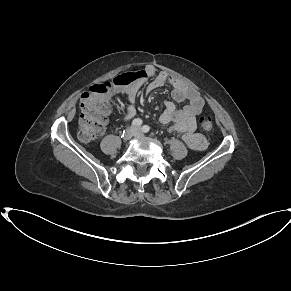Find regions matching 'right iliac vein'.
<instances>
[{"mask_svg": "<svg viewBox=\"0 0 291 291\" xmlns=\"http://www.w3.org/2000/svg\"><path fill=\"white\" fill-rule=\"evenodd\" d=\"M135 135H136V129L134 127H129L126 129V131L123 134V140L127 141Z\"/></svg>", "mask_w": 291, "mask_h": 291, "instance_id": "63e3f726", "label": "right iliac vein"}]
</instances>
